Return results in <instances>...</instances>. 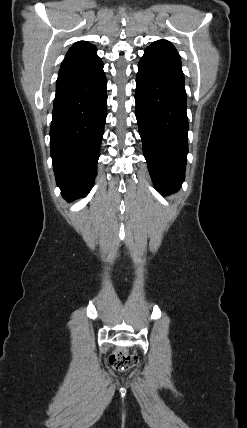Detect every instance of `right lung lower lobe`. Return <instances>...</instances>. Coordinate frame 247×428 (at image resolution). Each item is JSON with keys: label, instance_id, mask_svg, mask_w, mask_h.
I'll use <instances>...</instances> for the list:
<instances>
[{"label": "right lung lower lobe", "instance_id": "obj_1", "mask_svg": "<svg viewBox=\"0 0 247 428\" xmlns=\"http://www.w3.org/2000/svg\"><path fill=\"white\" fill-rule=\"evenodd\" d=\"M103 62L92 59L61 68L50 128L51 157L57 185L72 201L85 197L97 174L107 116Z\"/></svg>", "mask_w": 247, "mask_h": 428}]
</instances>
